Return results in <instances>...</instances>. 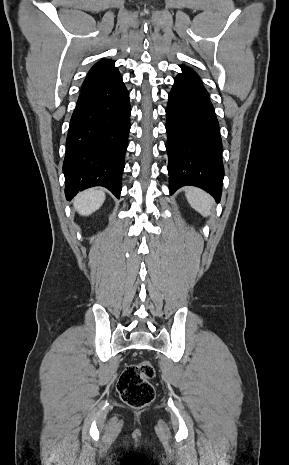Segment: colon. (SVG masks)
Returning a JSON list of instances; mask_svg holds the SVG:
<instances>
[{
  "mask_svg": "<svg viewBox=\"0 0 289 465\" xmlns=\"http://www.w3.org/2000/svg\"><path fill=\"white\" fill-rule=\"evenodd\" d=\"M154 375V367L149 361L127 366L117 384L123 402L132 408H142L150 404L155 396L154 388L150 383Z\"/></svg>",
  "mask_w": 289,
  "mask_h": 465,
  "instance_id": "obj_1",
  "label": "colon"
}]
</instances>
